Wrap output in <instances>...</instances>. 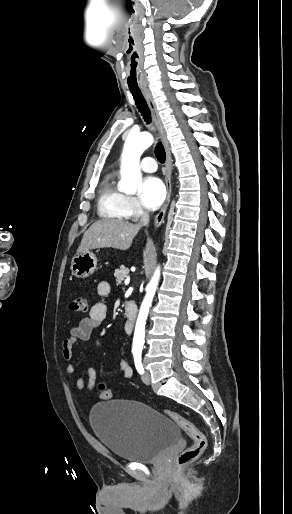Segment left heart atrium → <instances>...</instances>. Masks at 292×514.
Here are the masks:
<instances>
[{
  "label": "left heart atrium",
  "instance_id": "obj_1",
  "mask_svg": "<svg viewBox=\"0 0 292 514\" xmlns=\"http://www.w3.org/2000/svg\"><path fill=\"white\" fill-rule=\"evenodd\" d=\"M165 197V186L161 179L149 176L142 180L138 193L140 205L147 210L157 209Z\"/></svg>",
  "mask_w": 292,
  "mask_h": 514
}]
</instances>
